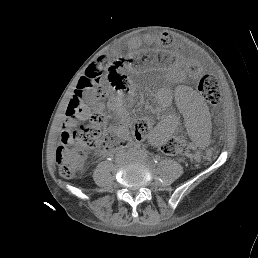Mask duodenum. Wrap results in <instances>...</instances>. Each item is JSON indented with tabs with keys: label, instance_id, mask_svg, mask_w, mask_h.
Listing matches in <instances>:
<instances>
[{
	"label": "duodenum",
	"instance_id": "obj_1",
	"mask_svg": "<svg viewBox=\"0 0 258 258\" xmlns=\"http://www.w3.org/2000/svg\"><path fill=\"white\" fill-rule=\"evenodd\" d=\"M122 150H123V149H119V150L116 151V153H119V152H121Z\"/></svg>",
	"mask_w": 258,
	"mask_h": 258
}]
</instances>
